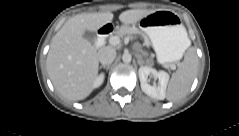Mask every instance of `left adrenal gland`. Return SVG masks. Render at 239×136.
<instances>
[{
    "mask_svg": "<svg viewBox=\"0 0 239 136\" xmlns=\"http://www.w3.org/2000/svg\"><path fill=\"white\" fill-rule=\"evenodd\" d=\"M138 63H139L140 65H142V63H143V60H142V58H141L140 56H139Z\"/></svg>",
    "mask_w": 239,
    "mask_h": 136,
    "instance_id": "left-adrenal-gland-1",
    "label": "left adrenal gland"
}]
</instances>
